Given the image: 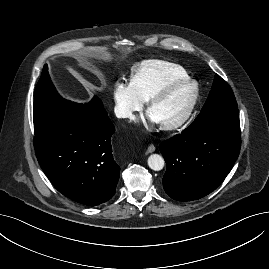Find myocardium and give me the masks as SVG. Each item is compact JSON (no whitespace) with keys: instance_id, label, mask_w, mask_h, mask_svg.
<instances>
[{"instance_id":"obj_1","label":"myocardium","mask_w":269,"mask_h":269,"mask_svg":"<svg viewBox=\"0 0 269 269\" xmlns=\"http://www.w3.org/2000/svg\"><path fill=\"white\" fill-rule=\"evenodd\" d=\"M180 88L191 89L190 99L187 103V106L184 112L177 120L170 123H166V124H160V127L163 130H166V131L177 130L188 122L199 99L200 89H199L198 84L194 80H191V79H185V80L173 82L165 86L164 88L160 89L159 91H157L154 95H152L149 98L147 102V109L149 111L152 108V106H154L155 104H157L158 102L166 98L168 95H170L172 92Z\"/></svg>"}]
</instances>
